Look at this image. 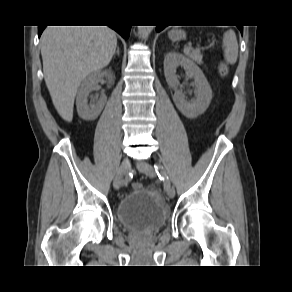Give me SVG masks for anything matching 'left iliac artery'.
<instances>
[{
    "label": "left iliac artery",
    "mask_w": 292,
    "mask_h": 292,
    "mask_svg": "<svg viewBox=\"0 0 292 292\" xmlns=\"http://www.w3.org/2000/svg\"><path fill=\"white\" fill-rule=\"evenodd\" d=\"M155 171H156L159 179L163 181L164 189L167 190L170 187V180H169V176H168L166 170L164 169V167L162 165L157 164V165H155Z\"/></svg>",
    "instance_id": "44dca946"
}]
</instances>
